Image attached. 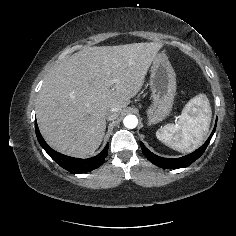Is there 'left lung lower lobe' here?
Masks as SVG:
<instances>
[{"mask_svg": "<svg viewBox=\"0 0 236 236\" xmlns=\"http://www.w3.org/2000/svg\"><path fill=\"white\" fill-rule=\"evenodd\" d=\"M216 125H217V120H216L215 127H214L211 135L209 136L207 141L204 143V145H202L199 149H197L193 153L188 154L186 156L176 158V159L163 158V157L157 156V155L153 154L152 152H150L144 146V144L141 142L142 152L150 162H152L153 164H155L159 167H163V168H184V167H187L190 164H192L195 160H197L204 153V151L206 150V148H207L208 144L210 143V140L215 132Z\"/></svg>", "mask_w": 236, "mask_h": 236, "instance_id": "1", "label": "left lung lower lobe"}]
</instances>
